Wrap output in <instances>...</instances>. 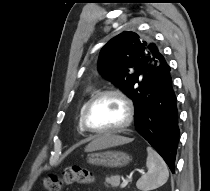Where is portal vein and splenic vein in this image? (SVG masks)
<instances>
[{"mask_svg": "<svg viewBox=\"0 0 210 191\" xmlns=\"http://www.w3.org/2000/svg\"><path fill=\"white\" fill-rule=\"evenodd\" d=\"M141 174H143L144 172L143 171H139ZM128 179H123V182L121 184V188H125L128 184Z\"/></svg>", "mask_w": 210, "mask_h": 191, "instance_id": "18ae733b", "label": "portal vein and splenic vein"}]
</instances>
